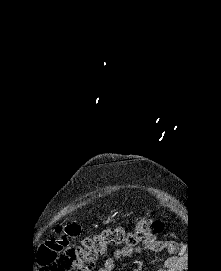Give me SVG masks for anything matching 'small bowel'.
<instances>
[{
	"label": "small bowel",
	"mask_w": 221,
	"mask_h": 271,
	"mask_svg": "<svg viewBox=\"0 0 221 271\" xmlns=\"http://www.w3.org/2000/svg\"><path fill=\"white\" fill-rule=\"evenodd\" d=\"M164 250L173 253L174 243L167 239H151L149 241L143 242L142 245L138 248L123 246L119 249H116L113 254L105 260L104 265L99 268L98 271H114L119 259L131 257L133 254L139 253L141 251L161 252ZM176 263L177 257L171 256L166 260L165 267L168 271H173ZM161 271H166V269H162Z\"/></svg>",
	"instance_id": "obj_1"
}]
</instances>
